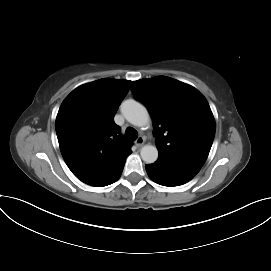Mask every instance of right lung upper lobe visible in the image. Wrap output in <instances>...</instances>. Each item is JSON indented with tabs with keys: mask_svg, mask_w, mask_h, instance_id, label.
<instances>
[{
	"mask_svg": "<svg viewBox=\"0 0 271 271\" xmlns=\"http://www.w3.org/2000/svg\"><path fill=\"white\" fill-rule=\"evenodd\" d=\"M129 86L127 80L100 79L77 87L60 106L55 123L60 150L72 173L86 184L107 181L131 153L132 143L114 122Z\"/></svg>",
	"mask_w": 271,
	"mask_h": 271,
	"instance_id": "right-lung-upper-lobe-1",
	"label": "right lung upper lobe"
}]
</instances>
